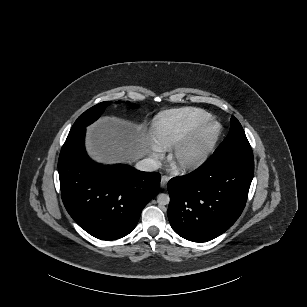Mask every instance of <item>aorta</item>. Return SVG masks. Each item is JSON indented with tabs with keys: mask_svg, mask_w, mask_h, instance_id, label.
<instances>
[{
	"mask_svg": "<svg viewBox=\"0 0 307 307\" xmlns=\"http://www.w3.org/2000/svg\"><path fill=\"white\" fill-rule=\"evenodd\" d=\"M169 201H170V197L167 194L161 193L157 196V202L159 205H162V206L167 205L169 204Z\"/></svg>",
	"mask_w": 307,
	"mask_h": 307,
	"instance_id": "1",
	"label": "aorta"
}]
</instances>
